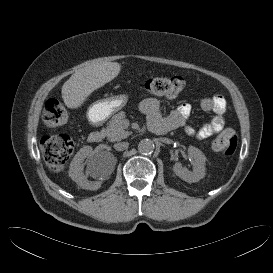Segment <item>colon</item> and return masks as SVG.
Returning <instances> with one entry per match:
<instances>
[{
	"mask_svg": "<svg viewBox=\"0 0 273 273\" xmlns=\"http://www.w3.org/2000/svg\"><path fill=\"white\" fill-rule=\"evenodd\" d=\"M184 88V80L180 76L154 77L141 85L147 93L160 97H175ZM43 119L49 127L62 126L69 119V112L57 99H49L44 108ZM213 149L226 156H231L237 147V136L230 130H224L212 143ZM40 148L48 167L54 171L62 170L74 150V142L68 136H48L40 142Z\"/></svg>",
	"mask_w": 273,
	"mask_h": 273,
	"instance_id": "5ec220e1",
	"label": "colon"
}]
</instances>
